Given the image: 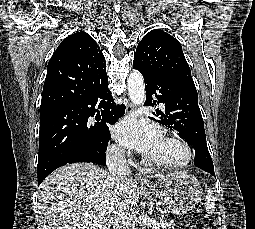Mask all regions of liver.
<instances>
[{
    "label": "liver",
    "instance_id": "6515ba94",
    "mask_svg": "<svg viewBox=\"0 0 255 229\" xmlns=\"http://www.w3.org/2000/svg\"><path fill=\"white\" fill-rule=\"evenodd\" d=\"M139 188L131 179L118 183L90 163L56 169L40 185L38 204L50 229H110L118 204H138Z\"/></svg>",
    "mask_w": 255,
    "mask_h": 229
}]
</instances>
